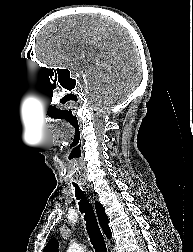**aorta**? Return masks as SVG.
I'll return each mask as SVG.
<instances>
[{
  "label": "aorta",
  "instance_id": "aorta-1",
  "mask_svg": "<svg viewBox=\"0 0 193 252\" xmlns=\"http://www.w3.org/2000/svg\"><path fill=\"white\" fill-rule=\"evenodd\" d=\"M67 252H85L84 248L77 244L76 242H73L70 244Z\"/></svg>",
  "mask_w": 193,
  "mask_h": 252
}]
</instances>
